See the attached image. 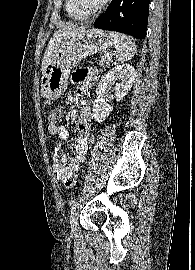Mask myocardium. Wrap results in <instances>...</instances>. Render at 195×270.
Returning a JSON list of instances; mask_svg holds the SVG:
<instances>
[{"label":"myocardium","instance_id":"obj_1","mask_svg":"<svg viewBox=\"0 0 195 270\" xmlns=\"http://www.w3.org/2000/svg\"><path fill=\"white\" fill-rule=\"evenodd\" d=\"M74 7L81 12L82 14H85L87 16H91L94 15L96 13H98L99 11H101L105 5L108 3L109 0H101L95 7L92 8H87L85 7L81 0H72Z\"/></svg>","mask_w":195,"mask_h":270}]
</instances>
